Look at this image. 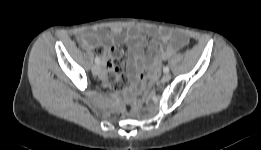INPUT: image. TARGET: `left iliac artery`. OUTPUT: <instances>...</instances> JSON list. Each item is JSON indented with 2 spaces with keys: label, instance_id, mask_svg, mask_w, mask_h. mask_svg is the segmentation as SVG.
Here are the masks:
<instances>
[{
  "label": "left iliac artery",
  "instance_id": "44dca946",
  "mask_svg": "<svg viewBox=\"0 0 261 150\" xmlns=\"http://www.w3.org/2000/svg\"><path fill=\"white\" fill-rule=\"evenodd\" d=\"M163 71H164V73H168L169 72V67L168 66L164 67Z\"/></svg>",
  "mask_w": 261,
  "mask_h": 150
}]
</instances>
